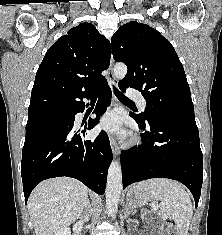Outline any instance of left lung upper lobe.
Listing matches in <instances>:
<instances>
[{
  "mask_svg": "<svg viewBox=\"0 0 222 235\" xmlns=\"http://www.w3.org/2000/svg\"><path fill=\"white\" fill-rule=\"evenodd\" d=\"M115 61L128 66L119 82L140 91L146 100L141 119L155 116L195 123L186 75L173 46L157 30L136 21L121 26L112 37Z\"/></svg>",
  "mask_w": 222,
  "mask_h": 235,
  "instance_id": "1",
  "label": "left lung upper lobe"
}]
</instances>
